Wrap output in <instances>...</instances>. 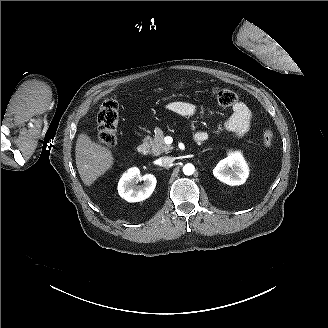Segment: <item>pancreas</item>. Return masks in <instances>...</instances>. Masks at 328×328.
<instances>
[{
    "mask_svg": "<svg viewBox=\"0 0 328 328\" xmlns=\"http://www.w3.org/2000/svg\"><path fill=\"white\" fill-rule=\"evenodd\" d=\"M156 136L154 138L147 136L143 139L144 143H147L150 147L151 152L154 155H160L162 153H169L170 150L174 149L172 145H167L164 141V131L160 127L155 128Z\"/></svg>",
    "mask_w": 328,
    "mask_h": 328,
    "instance_id": "obj_1",
    "label": "pancreas"
}]
</instances>
